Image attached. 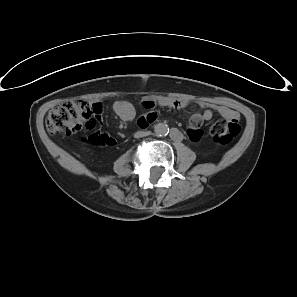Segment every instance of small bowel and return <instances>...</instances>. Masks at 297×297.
<instances>
[{"mask_svg":"<svg viewBox=\"0 0 297 297\" xmlns=\"http://www.w3.org/2000/svg\"><path fill=\"white\" fill-rule=\"evenodd\" d=\"M159 105L163 107H168L173 110L184 109L188 102L185 100H175L171 98H162L159 100ZM199 105L205 110L202 113H195L192 115L190 120V128L187 131L188 137L192 141L200 140L202 136V131L199 129L200 124L205 121H209L213 117V111L210 108L209 104L206 102H200ZM143 106L149 111L139 119V124L141 127H147L150 123L155 121L157 115L153 111L156 106L155 101L147 99L143 101ZM114 112L120 117L121 120L128 122L134 119L135 117V108L134 106L125 100L117 101L113 105ZM220 115L225 118H233L237 117V113L227 107L224 106H216L214 107Z\"/></svg>","mask_w":297,"mask_h":297,"instance_id":"obj_1","label":"small bowel"}]
</instances>
